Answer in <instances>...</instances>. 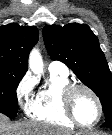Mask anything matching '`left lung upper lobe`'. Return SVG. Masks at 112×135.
<instances>
[{
    "instance_id": "left-lung-upper-lobe-1",
    "label": "left lung upper lobe",
    "mask_w": 112,
    "mask_h": 135,
    "mask_svg": "<svg viewBox=\"0 0 112 135\" xmlns=\"http://www.w3.org/2000/svg\"><path fill=\"white\" fill-rule=\"evenodd\" d=\"M43 38L52 60L65 63L99 97L105 121L112 119V74L98 38L86 24L45 26Z\"/></svg>"
}]
</instances>
